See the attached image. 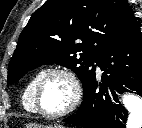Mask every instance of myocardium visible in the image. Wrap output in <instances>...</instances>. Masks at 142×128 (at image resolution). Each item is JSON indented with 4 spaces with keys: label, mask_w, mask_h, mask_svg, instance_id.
I'll list each match as a JSON object with an SVG mask.
<instances>
[{
    "label": "myocardium",
    "mask_w": 142,
    "mask_h": 128,
    "mask_svg": "<svg viewBox=\"0 0 142 128\" xmlns=\"http://www.w3.org/2000/svg\"><path fill=\"white\" fill-rule=\"evenodd\" d=\"M55 74L63 75L68 79L72 87V98L69 105L64 110L57 113H49L43 110L40 105V92H41V88H42V84L44 80L47 77L51 75H55ZM81 98H82L81 82L79 78L77 77V75L71 69L66 67H53V68L45 70L42 73V75L39 77L35 86L34 103H35L36 112H38L39 114L47 118L57 119L70 114L77 108V106L79 105L81 101Z\"/></svg>",
    "instance_id": "myocardium-1"
}]
</instances>
